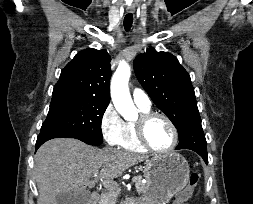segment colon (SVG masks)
<instances>
[{
    "label": "colon",
    "instance_id": "obj_1",
    "mask_svg": "<svg viewBox=\"0 0 253 204\" xmlns=\"http://www.w3.org/2000/svg\"><path fill=\"white\" fill-rule=\"evenodd\" d=\"M200 175L193 172L189 176L188 184L183 188V190L178 194L175 204H185V202L191 197L195 187L199 182Z\"/></svg>",
    "mask_w": 253,
    "mask_h": 204
}]
</instances>
